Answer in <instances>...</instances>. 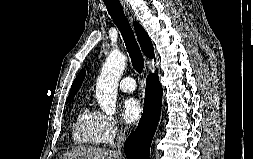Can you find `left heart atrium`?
Instances as JSON below:
<instances>
[{"label": "left heart atrium", "instance_id": "39dd6f15", "mask_svg": "<svg viewBox=\"0 0 253 159\" xmlns=\"http://www.w3.org/2000/svg\"><path fill=\"white\" fill-rule=\"evenodd\" d=\"M121 115L126 123L133 124L141 115V105L135 98H126L121 104Z\"/></svg>", "mask_w": 253, "mask_h": 159}]
</instances>
